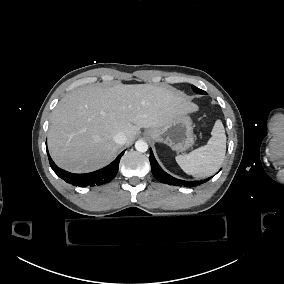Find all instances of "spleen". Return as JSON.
<instances>
[{
    "instance_id": "1",
    "label": "spleen",
    "mask_w": 284,
    "mask_h": 284,
    "mask_svg": "<svg viewBox=\"0 0 284 284\" xmlns=\"http://www.w3.org/2000/svg\"><path fill=\"white\" fill-rule=\"evenodd\" d=\"M208 143L189 154L176 156V162L188 175L204 178L221 167L226 153V134L221 120H216Z\"/></svg>"
}]
</instances>
